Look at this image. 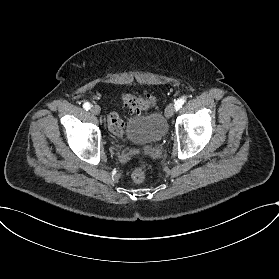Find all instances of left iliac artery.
<instances>
[{"label":"left iliac artery","mask_w":279,"mask_h":279,"mask_svg":"<svg viewBox=\"0 0 279 279\" xmlns=\"http://www.w3.org/2000/svg\"><path fill=\"white\" fill-rule=\"evenodd\" d=\"M184 102H185V98L183 97V98H180V99H178L176 102H175V110L176 111H178L181 107H182V105L184 104Z\"/></svg>","instance_id":"obj_1"}]
</instances>
